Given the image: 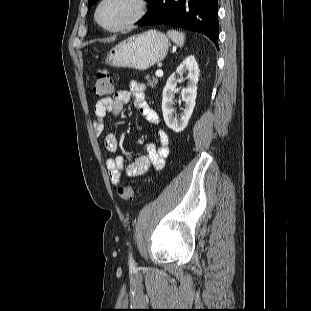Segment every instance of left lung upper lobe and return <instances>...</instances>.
<instances>
[{
	"label": "left lung upper lobe",
	"instance_id": "5c2ea615",
	"mask_svg": "<svg viewBox=\"0 0 311 311\" xmlns=\"http://www.w3.org/2000/svg\"><path fill=\"white\" fill-rule=\"evenodd\" d=\"M97 0H88V9L96 2ZM148 1V0H146Z\"/></svg>",
	"mask_w": 311,
	"mask_h": 311
}]
</instances>
